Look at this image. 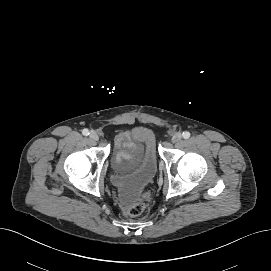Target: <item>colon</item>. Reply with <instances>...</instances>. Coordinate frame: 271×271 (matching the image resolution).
<instances>
[{
	"label": "colon",
	"mask_w": 271,
	"mask_h": 271,
	"mask_svg": "<svg viewBox=\"0 0 271 271\" xmlns=\"http://www.w3.org/2000/svg\"><path fill=\"white\" fill-rule=\"evenodd\" d=\"M145 208H146V205L144 202H137L125 208L124 213L129 217H136L142 214Z\"/></svg>",
	"instance_id": "5ec220e1"
}]
</instances>
